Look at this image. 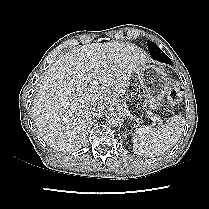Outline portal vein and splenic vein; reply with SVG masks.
I'll use <instances>...</instances> for the list:
<instances>
[{"instance_id":"18ae733b","label":"portal vein and splenic vein","mask_w":209,"mask_h":209,"mask_svg":"<svg viewBox=\"0 0 209 209\" xmlns=\"http://www.w3.org/2000/svg\"><path fill=\"white\" fill-rule=\"evenodd\" d=\"M97 84H98L97 76L94 75L93 80H92V82H91L92 88H94ZM151 120H152L153 122H157V121L161 122L160 118H158L157 116H152V117H151Z\"/></svg>"}]
</instances>
